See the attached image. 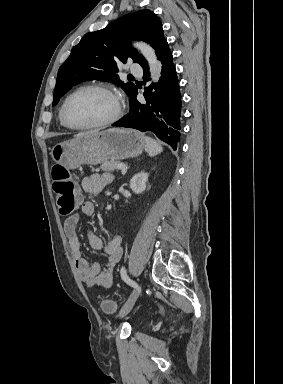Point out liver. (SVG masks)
<instances>
[{
  "label": "liver",
  "mask_w": 283,
  "mask_h": 384,
  "mask_svg": "<svg viewBox=\"0 0 283 384\" xmlns=\"http://www.w3.org/2000/svg\"><path fill=\"white\" fill-rule=\"evenodd\" d=\"M90 134H96L95 130H91V132H80V134H76L74 138H81V136H90Z\"/></svg>",
  "instance_id": "obj_1"
}]
</instances>
